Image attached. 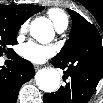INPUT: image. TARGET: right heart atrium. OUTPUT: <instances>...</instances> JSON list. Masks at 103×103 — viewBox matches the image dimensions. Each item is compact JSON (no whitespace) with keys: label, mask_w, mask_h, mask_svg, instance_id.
I'll return each mask as SVG.
<instances>
[{"label":"right heart atrium","mask_w":103,"mask_h":103,"mask_svg":"<svg viewBox=\"0 0 103 103\" xmlns=\"http://www.w3.org/2000/svg\"><path fill=\"white\" fill-rule=\"evenodd\" d=\"M26 26L25 25H22L21 28H20V33L24 32Z\"/></svg>","instance_id":"right-heart-atrium-1"}]
</instances>
